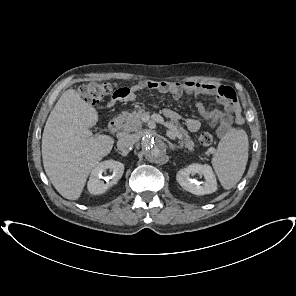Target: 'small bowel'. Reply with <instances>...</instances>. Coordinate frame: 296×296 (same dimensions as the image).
<instances>
[{"label":"small bowel","mask_w":296,"mask_h":296,"mask_svg":"<svg viewBox=\"0 0 296 296\" xmlns=\"http://www.w3.org/2000/svg\"><path fill=\"white\" fill-rule=\"evenodd\" d=\"M144 89L157 90L161 93L170 94L178 99L183 95H212L216 97L219 108L211 111H204L200 108V113L214 127L219 134L226 133L235 123L242 122L241 107L238 103L234 89L227 85H217L197 81H187L183 83L170 81H142L134 84L124 96L113 97L109 104L115 101H135L137 94ZM166 117L177 120L179 115L171 110L164 111ZM202 122L197 118H188L186 126L190 132H197L201 128Z\"/></svg>","instance_id":"small-bowel-1"}]
</instances>
